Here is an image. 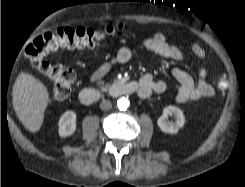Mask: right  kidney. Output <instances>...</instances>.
Listing matches in <instances>:
<instances>
[{
  "label": "right kidney",
  "instance_id": "right-kidney-1",
  "mask_svg": "<svg viewBox=\"0 0 245 187\" xmlns=\"http://www.w3.org/2000/svg\"><path fill=\"white\" fill-rule=\"evenodd\" d=\"M76 113L74 111H66L59 120L58 133L61 137L71 136L76 131Z\"/></svg>",
  "mask_w": 245,
  "mask_h": 187
}]
</instances>
